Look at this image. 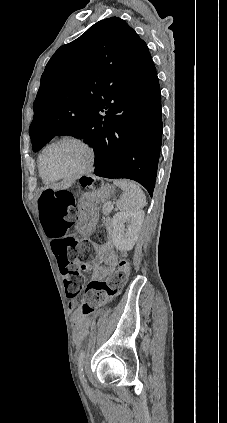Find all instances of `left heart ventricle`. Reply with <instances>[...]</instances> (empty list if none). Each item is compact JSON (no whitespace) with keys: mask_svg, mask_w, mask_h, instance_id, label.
Listing matches in <instances>:
<instances>
[{"mask_svg":"<svg viewBox=\"0 0 227 423\" xmlns=\"http://www.w3.org/2000/svg\"><path fill=\"white\" fill-rule=\"evenodd\" d=\"M87 159L85 148L73 142H65L48 151L45 165L54 174H73L85 166Z\"/></svg>","mask_w":227,"mask_h":423,"instance_id":"left-heart-ventricle-1","label":"left heart ventricle"}]
</instances>
